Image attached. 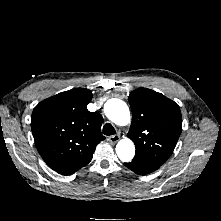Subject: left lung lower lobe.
<instances>
[{
    "mask_svg": "<svg viewBox=\"0 0 221 221\" xmlns=\"http://www.w3.org/2000/svg\"><path fill=\"white\" fill-rule=\"evenodd\" d=\"M124 165L138 175H145L156 171L161 165L149 163L146 161L134 159L132 162L124 163Z\"/></svg>",
    "mask_w": 221,
    "mask_h": 221,
    "instance_id": "obj_1",
    "label": "left lung lower lobe"
}]
</instances>
